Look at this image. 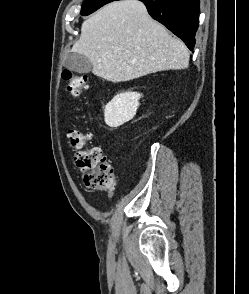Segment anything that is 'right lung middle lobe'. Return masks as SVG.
I'll return each instance as SVG.
<instances>
[{"mask_svg": "<svg viewBox=\"0 0 249 294\" xmlns=\"http://www.w3.org/2000/svg\"><path fill=\"white\" fill-rule=\"evenodd\" d=\"M112 1L114 0H85L82 5L80 14L83 16L89 15L97 9H99L100 7H102L103 5Z\"/></svg>", "mask_w": 249, "mask_h": 294, "instance_id": "1", "label": "right lung middle lobe"}]
</instances>
